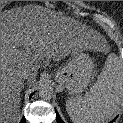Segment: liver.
<instances>
[{
    "mask_svg": "<svg viewBox=\"0 0 123 123\" xmlns=\"http://www.w3.org/2000/svg\"><path fill=\"white\" fill-rule=\"evenodd\" d=\"M67 22L39 7L10 12L1 20V123L18 120L22 71L31 74L33 84L40 60L60 61L77 49L100 50V36L92 30L76 31Z\"/></svg>",
    "mask_w": 123,
    "mask_h": 123,
    "instance_id": "obj_1",
    "label": "liver"
}]
</instances>
